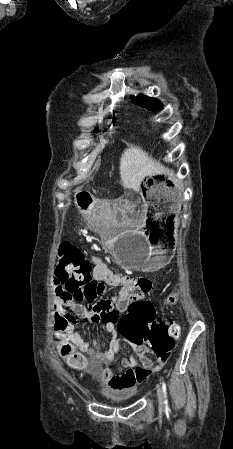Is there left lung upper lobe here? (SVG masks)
I'll return each instance as SVG.
<instances>
[{"instance_id":"obj_1","label":"left lung upper lobe","mask_w":233,"mask_h":449,"mask_svg":"<svg viewBox=\"0 0 233 449\" xmlns=\"http://www.w3.org/2000/svg\"><path fill=\"white\" fill-rule=\"evenodd\" d=\"M132 99L136 104L150 110H159L162 108V104L156 98L139 94L137 97L132 96Z\"/></svg>"}]
</instances>
